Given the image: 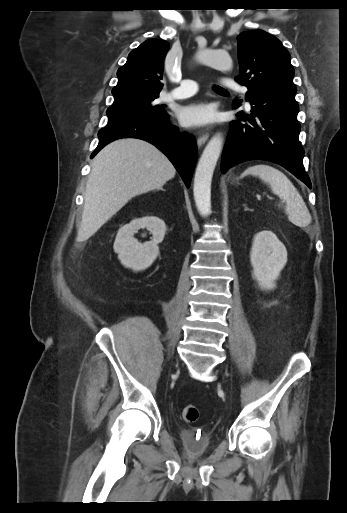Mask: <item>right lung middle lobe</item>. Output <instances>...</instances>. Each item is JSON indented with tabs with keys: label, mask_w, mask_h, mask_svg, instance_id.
I'll return each instance as SVG.
<instances>
[{
	"label": "right lung middle lobe",
	"mask_w": 347,
	"mask_h": 513,
	"mask_svg": "<svg viewBox=\"0 0 347 513\" xmlns=\"http://www.w3.org/2000/svg\"><path fill=\"white\" fill-rule=\"evenodd\" d=\"M156 98H158V96H145L114 103L106 112L108 121L131 116L159 119L163 117L166 112L163 105H156L154 103Z\"/></svg>",
	"instance_id": "right-lung-middle-lobe-1"
}]
</instances>
